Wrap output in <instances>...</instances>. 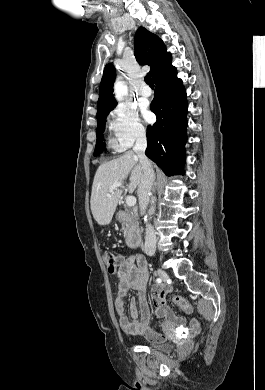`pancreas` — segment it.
Instances as JSON below:
<instances>
[{
    "mask_svg": "<svg viewBox=\"0 0 265 390\" xmlns=\"http://www.w3.org/2000/svg\"><path fill=\"white\" fill-rule=\"evenodd\" d=\"M128 216H129V218H131V219L134 218L133 213H129ZM133 225H134V226H137L135 221L133 222ZM128 229H129V222H123V228H122V230L125 232V236H126V233H127V230H128Z\"/></svg>",
    "mask_w": 265,
    "mask_h": 390,
    "instance_id": "obj_1",
    "label": "pancreas"
}]
</instances>
